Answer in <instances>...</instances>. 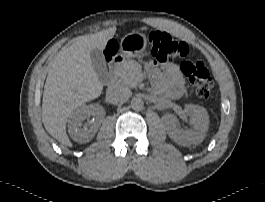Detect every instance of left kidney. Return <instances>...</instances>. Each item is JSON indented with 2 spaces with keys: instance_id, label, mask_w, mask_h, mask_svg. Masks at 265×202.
Instances as JSON below:
<instances>
[{
  "instance_id": "obj_1",
  "label": "left kidney",
  "mask_w": 265,
  "mask_h": 202,
  "mask_svg": "<svg viewBox=\"0 0 265 202\" xmlns=\"http://www.w3.org/2000/svg\"><path fill=\"white\" fill-rule=\"evenodd\" d=\"M185 113L190 117V122L193 125L192 129L183 130L178 126V119L174 114L163 116L168 136L182 146L198 145L205 138L209 128L208 113L203 107L193 104L185 106Z\"/></svg>"
}]
</instances>
